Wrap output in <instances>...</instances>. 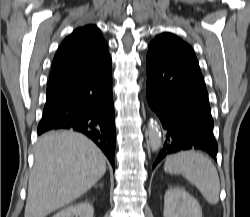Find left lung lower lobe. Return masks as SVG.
<instances>
[{"label":"left lung lower lobe","mask_w":250,"mask_h":217,"mask_svg":"<svg viewBox=\"0 0 250 217\" xmlns=\"http://www.w3.org/2000/svg\"><path fill=\"white\" fill-rule=\"evenodd\" d=\"M147 101L166 130V140L153 168L166 156L190 149L216 160L208 93L196 57L160 44L149 45Z\"/></svg>","instance_id":"0a47b994"}]
</instances>
